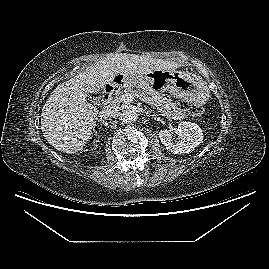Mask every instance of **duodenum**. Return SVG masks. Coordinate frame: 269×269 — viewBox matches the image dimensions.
<instances>
[{
    "mask_svg": "<svg viewBox=\"0 0 269 269\" xmlns=\"http://www.w3.org/2000/svg\"><path fill=\"white\" fill-rule=\"evenodd\" d=\"M119 83V81L117 80V82H113L111 84L106 85V87L104 88L102 95H101V101L103 103L107 102L110 98V95L112 94V92L114 91L116 85Z\"/></svg>",
    "mask_w": 269,
    "mask_h": 269,
    "instance_id": "obj_1",
    "label": "duodenum"
}]
</instances>
